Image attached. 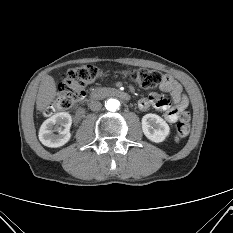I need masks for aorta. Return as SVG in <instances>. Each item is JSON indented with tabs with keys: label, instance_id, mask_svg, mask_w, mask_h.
<instances>
[{
	"label": "aorta",
	"instance_id": "762f6f07",
	"mask_svg": "<svg viewBox=\"0 0 233 233\" xmlns=\"http://www.w3.org/2000/svg\"><path fill=\"white\" fill-rule=\"evenodd\" d=\"M105 107L109 111H117L120 107V102L117 99H108Z\"/></svg>",
	"mask_w": 233,
	"mask_h": 233
}]
</instances>
